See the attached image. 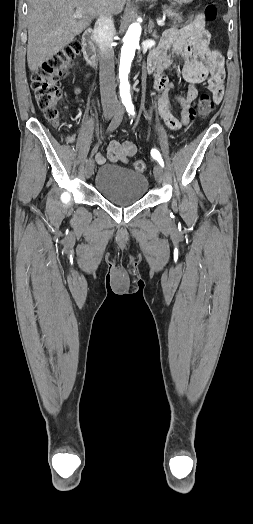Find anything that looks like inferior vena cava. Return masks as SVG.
I'll list each match as a JSON object with an SVG mask.
<instances>
[{
    "mask_svg": "<svg viewBox=\"0 0 253 524\" xmlns=\"http://www.w3.org/2000/svg\"><path fill=\"white\" fill-rule=\"evenodd\" d=\"M115 32L111 13L105 11L97 19L94 27V38L98 45L100 65V92L104 106H116L114 77V50L112 46Z\"/></svg>",
    "mask_w": 253,
    "mask_h": 524,
    "instance_id": "obj_1",
    "label": "inferior vena cava"
}]
</instances>
